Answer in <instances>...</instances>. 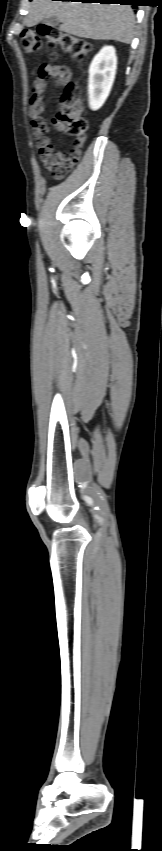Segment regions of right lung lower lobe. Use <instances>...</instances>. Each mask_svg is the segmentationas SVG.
<instances>
[{
  "mask_svg": "<svg viewBox=\"0 0 162 851\" xmlns=\"http://www.w3.org/2000/svg\"><path fill=\"white\" fill-rule=\"evenodd\" d=\"M62 1H73V0H62ZM81 2H97L101 4H121V5H137V1L139 0H78Z\"/></svg>",
  "mask_w": 162,
  "mask_h": 851,
  "instance_id": "98d812e1",
  "label": "right lung lower lobe"
}]
</instances>
